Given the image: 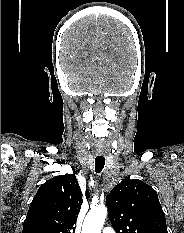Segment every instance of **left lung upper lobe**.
Here are the masks:
<instances>
[{"instance_id": "5c2ea615", "label": "left lung upper lobe", "mask_w": 184, "mask_h": 233, "mask_svg": "<svg viewBox=\"0 0 184 233\" xmlns=\"http://www.w3.org/2000/svg\"><path fill=\"white\" fill-rule=\"evenodd\" d=\"M116 233H168L157 192L138 179H124L106 197Z\"/></svg>"}]
</instances>
